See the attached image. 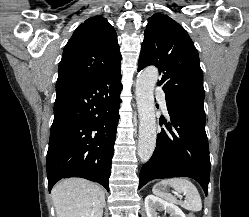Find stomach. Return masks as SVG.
Instances as JSON below:
<instances>
[{
    "instance_id": "stomach-1",
    "label": "stomach",
    "mask_w": 249,
    "mask_h": 217,
    "mask_svg": "<svg viewBox=\"0 0 249 217\" xmlns=\"http://www.w3.org/2000/svg\"><path fill=\"white\" fill-rule=\"evenodd\" d=\"M160 188L163 189V190L165 189V187H160Z\"/></svg>"
}]
</instances>
